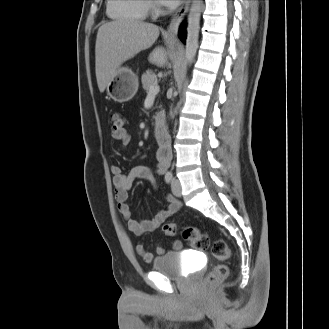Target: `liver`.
Instances as JSON below:
<instances>
[{"mask_svg":"<svg viewBox=\"0 0 329 329\" xmlns=\"http://www.w3.org/2000/svg\"><path fill=\"white\" fill-rule=\"evenodd\" d=\"M158 36V26L138 20L120 19L100 26L95 45L99 91L104 92L122 63L150 48ZM149 61L158 67H165L168 54L163 47H156L149 55Z\"/></svg>","mask_w":329,"mask_h":329,"instance_id":"obj_1","label":"liver"}]
</instances>
